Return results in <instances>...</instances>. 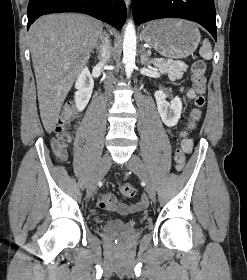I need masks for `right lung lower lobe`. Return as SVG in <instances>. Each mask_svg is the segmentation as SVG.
Returning <instances> with one entry per match:
<instances>
[{
  "mask_svg": "<svg viewBox=\"0 0 247 280\" xmlns=\"http://www.w3.org/2000/svg\"><path fill=\"white\" fill-rule=\"evenodd\" d=\"M56 12H80L121 29L126 20L124 0H30L27 16L30 25L41 15Z\"/></svg>",
  "mask_w": 247,
  "mask_h": 280,
  "instance_id": "right-lung-lower-lobe-1",
  "label": "right lung lower lobe"
}]
</instances>
